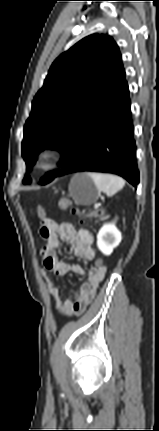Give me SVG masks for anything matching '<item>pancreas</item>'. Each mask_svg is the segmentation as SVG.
I'll return each mask as SVG.
<instances>
[{
    "mask_svg": "<svg viewBox=\"0 0 159 431\" xmlns=\"http://www.w3.org/2000/svg\"><path fill=\"white\" fill-rule=\"evenodd\" d=\"M98 213L94 212L88 215V217H98Z\"/></svg>",
    "mask_w": 159,
    "mask_h": 431,
    "instance_id": "cf45deb5",
    "label": "pancreas"
}]
</instances>
